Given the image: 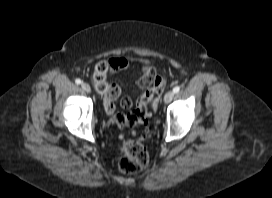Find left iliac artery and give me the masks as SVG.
<instances>
[{"mask_svg":"<svg viewBox=\"0 0 272 198\" xmlns=\"http://www.w3.org/2000/svg\"><path fill=\"white\" fill-rule=\"evenodd\" d=\"M180 91V87L179 86H176L173 88V92L174 93H178Z\"/></svg>","mask_w":272,"mask_h":198,"instance_id":"obj_1","label":"left iliac artery"}]
</instances>
